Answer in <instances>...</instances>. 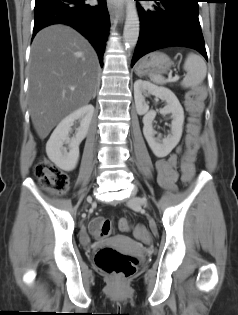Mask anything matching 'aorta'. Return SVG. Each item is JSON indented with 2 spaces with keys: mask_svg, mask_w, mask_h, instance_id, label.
<instances>
[{
  "mask_svg": "<svg viewBox=\"0 0 238 315\" xmlns=\"http://www.w3.org/2000/svg\"><path fill=\"white\" fill-rule=\"evenodd\" d=\"M140 31V21L135 3L127 0L126 21L123 31L124 44L127 48L132 49L138 41Z\"/></svg>",
  "mask_w": 238,
  "mask_h": 315,
  "instance_id": "762f6f07",
  "label": "aorta"
}]
</instances>
